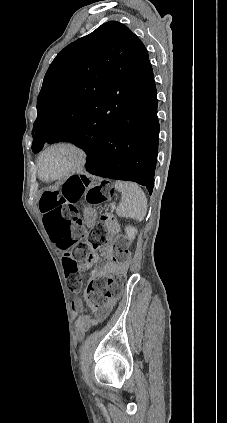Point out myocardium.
<instances>
[{
  "mask_svg": "<svg viewBox=\"0 0 227 423\" xmlns=\"http://www.w3.org/2000/svg\"><path fill=\"white\" fill-rule=\"evenodd\" d=\"M54 148H68V149L72 150L73 152L76 153L77 160H76L75 164L70 169H68L66 172H64L60 175H57L55 177H52V178H46L43 175L42 159L48 151H50ZM88 162H89V153L83 145H81L80 143L73 141V140H61V141H57V142H54V143L46 146L40 152L38 160H37L38 173H39V176L44 181H47V182H52V181H56V180H64V179L71 178V177L83 172L86 169Z\"/></svg>",
  "mask_w": 227,
  "mask_h": 423,
  "instance_id": "myocardium-1",
  "label": "myocardium"
}]
</instances>
